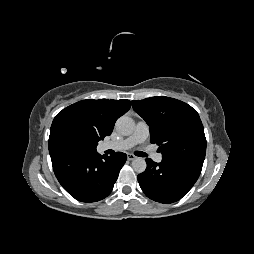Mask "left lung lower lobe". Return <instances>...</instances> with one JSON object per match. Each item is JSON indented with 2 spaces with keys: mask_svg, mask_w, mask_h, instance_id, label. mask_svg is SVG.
I'll return each instance as SVG.
<instances>
[{
  "mask_svg": "<svg viewBox=\"0 0 254 254\" xmlns=\"http://www.w3.org/2000/svg\"><path fill=\"white\" fill-rule=\"evenodd\" d=\"M147 169L138 175L139 185L145 195L160 203H173L181 199L197 181L202 167L146 159Z\"/></svg>",
  "mask_w": 254,
  "mask_h": 254,
  "instance_id": "left-lung-lower-lobe-1",
  "label": "left lung lower lobe"
}]
</instances>
